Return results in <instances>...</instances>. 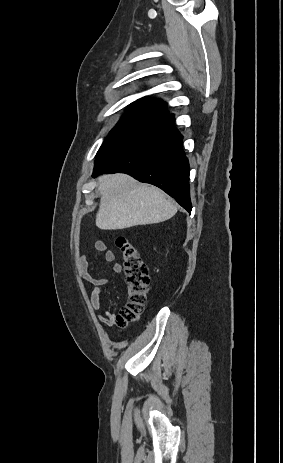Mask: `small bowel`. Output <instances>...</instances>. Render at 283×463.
Instances as JSON below:
<instances>
[{
	"instance_id": "1",
	"label": "small bowel",
	"mask_w": 283,
	"mask_h": 463,
	"mask_svg": "<svg viewBox=\"0 0 283 463\" xmlns=\"http://www.w3.org/2000/svg\"><path fill=\"white\" fill-rule=\"evenodd\" d=\"M95 255L104 254L106 262L113 263V270L115 273L122 272V265L115 262V254L113 251L107 249V244L104 240H97L94 244ZM93 259L89 260L85 254H82L78 260V267L81 277L93 286L90 293V304L93 309L99 310L101 307V292L102 289L108 285V280L105 278H96L91 274V265ZM99 321L104 325H111L116 319V314L110 311L98 315Z\"/></svg>"
}]
</instances>
